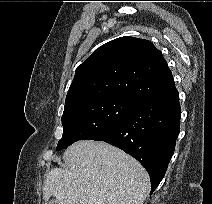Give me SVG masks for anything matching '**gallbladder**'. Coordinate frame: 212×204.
<instances>
[{"label": "gallbladder", "mask_w": 212, "mask_h": 204, "mask_svg": "<svg viewBox=\"0 0 212 204\" xmlns=\"http://www.w3.org/2000/svg\"><path fill=\"white\" fill-rule=\"evenodd\" d=\"M49 204H58L56 200H52Z\"/></svg>", "instance_id": "gallbladder-1"}]
</instances>
